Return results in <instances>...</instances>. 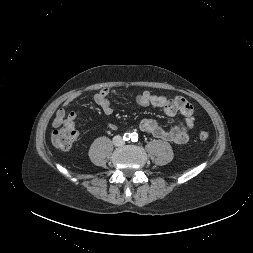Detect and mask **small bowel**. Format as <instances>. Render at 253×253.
<instances>
[{
    "instance_id": "1",
    "label": "small bowel",
    "mask_w": 253,
    "mask_h": 253,
    "mask_svg": "<svg viewBox=\"0 0 253 253\" xmlns=\"http://www.w3.org/2000/svg\"><path fill=\"white\" fill-rule=\"evenodd\" d=\"M116 91L109 88H103L94 95V102L102 109V111L110 115L113 107L110 103L109 96L115 94ZM80 96L74 94L68 97L62 106L57 110L53 120V127L57 128L63 125L69 126L78 136L76 130V120L78 114L72 109L73 102ZM137 104L141 106H152L160 109L167 116H175L179 114L182 120L172 128L165 130L157 121L150 118L141 120L140 130L165 141L176 144H185L189 140L190 132L195 128V115L192 105L182 96H167L163 94H155L150 91H144L135 98ZM111 130H116L114 124H109Z\"/></svg>"
}]
</instances>
